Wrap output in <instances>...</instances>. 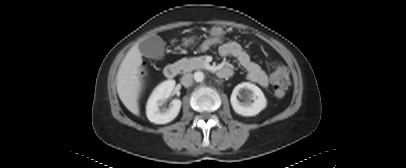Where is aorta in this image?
<instances>
[{"mask_svg":"<svg viewBox=\"0 0 406 168\" xmlns=\"http://www.w3.org/2000/svg\"><path fill=\"white\" fill-rule=\"evenodd\" d=\"M194 79L196 82H202L204 80V74L201 71H197L194 73Z\"/></svg>","mask_w":406,"mask_h":168,"instance_id":"aorta-1","label":"aorta"}]
</instances>
